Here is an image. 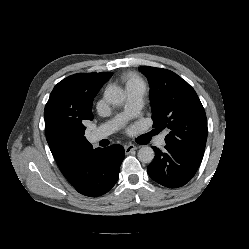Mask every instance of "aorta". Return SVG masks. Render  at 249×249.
I'll return each instance as SVG.
<instances>
[{
    "label": "aorta",
    "instance_id": "1",
    "mask_svg": "<svg viewBox=\"0 0 249 249\" xmlns=\"http://www.w3.org/2000/svg\"><path fill=\"white\" fill-rule=\"evenodd\" d=\"M105 99L111 104H121L125 100L124 90L118 86H110L106 88L104 93ZM154 150L149 146H143L138 151V159L142 163H151L154 159Z\"/></svg>",
    "mask_w": 249,
    "mask_h": 249
}]
</instances>
